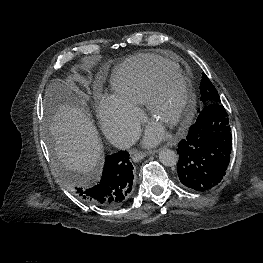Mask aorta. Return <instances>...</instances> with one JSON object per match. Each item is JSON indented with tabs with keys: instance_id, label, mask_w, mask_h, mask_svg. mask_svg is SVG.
<instances>
[{
	"instance_id": "762f6f07",
	"label": "aorta",
	"mask_w": 263,
	"mask_h": 263,
	"mask_svg": "<svg viewBox=\"0 0 263 263\" xmlns=\"http://www.w3.org/2000/svg\"><path fill=\"white\" fill-rule=\"evenodd\" d=\"M159 160L164 166H175L178 162V155L173 150L165 148L160 150Z\"/></svg>"
}]
</instances>
